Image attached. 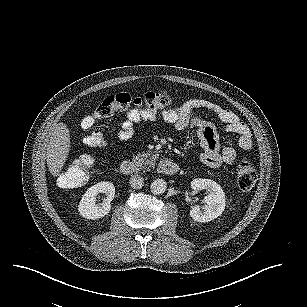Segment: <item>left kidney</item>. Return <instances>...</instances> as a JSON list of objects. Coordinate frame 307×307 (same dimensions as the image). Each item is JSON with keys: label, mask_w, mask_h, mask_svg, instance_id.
<instances>
[{"label": "left kidney", "mask_w": 307, "mask_h": 307, "mask_svg": "<svg viewBox=\"0 0 307 307\" xmlns=\"http://www.w3.org/2000/svg\"><path fill=\"white\" fill-rule=\"evenodd\" d=\"M193 191L206 190L209 194L204 197V205L191 206L190 215L200 222L211 221L222 214L226 206V196L221 186L211 180L195 178L190 182Z\"/></svg>", "instance_id": "left-kidney-1"}]
</instances>
